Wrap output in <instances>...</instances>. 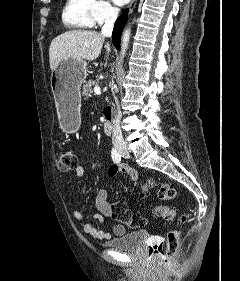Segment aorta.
<instances>
[{
    "label": "aorta",
    "instance_id": "1",
    "mask_svg": "<svg viewBox=\"0 0 240 281\" xmlns=\"http://www.w3.org/2000/svg\"><path fill=\"white\" fill-rule=\"evenodd\" d=\"M130 35H131V29L130 27L126 28L122 34V38H121V59L124 58L125 56V52L128 48V43H129V39H130Z\"/></svg>",
    "mask_w": 240,
    "mask_h": 281
}]
</instances>
